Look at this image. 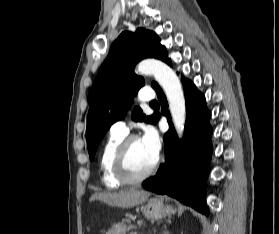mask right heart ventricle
I'll use <instances>...</instances> for the list:
<instances>
[{
    "instance_id": "1",
    "label": "right heart ventricle",
    "mask_w": 279,
    "mask_h": 234,
    "mask_svg": "<svg viewBox=\"0 0 279 234\" xmlns=\"http://www.w3.org/2000/svg\"><path fill=\"white\" fill-rule=\"evenodd\" d=\"M125 134L111 133L104 144L100 157L99 167L102 183L108 188L120 187L123 183L115 176L113 170V160L119 143L124 139Z\"/></svg>"
}]
</instances>
